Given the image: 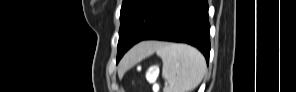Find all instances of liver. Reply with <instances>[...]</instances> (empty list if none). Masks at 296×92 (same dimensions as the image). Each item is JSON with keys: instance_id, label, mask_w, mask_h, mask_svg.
<instances>
[{"instance_id": "liver-1", "label": "liver", "mask_w": 296, "mask_h": 92, "mask_svg": "<svg viewBox=\"0 0 296 92\" xmlns=\"http://www.w3.org/2000/svg\"><path fill=\"white\" fill-rule=\"evenodd\" d=\"M153 42H144L132 49L124 58L123 66L131 67L133 66L139 59H141L148 50L152 49Z\"/></svg>"}]
</instances>
